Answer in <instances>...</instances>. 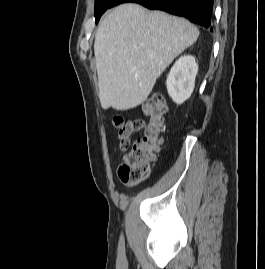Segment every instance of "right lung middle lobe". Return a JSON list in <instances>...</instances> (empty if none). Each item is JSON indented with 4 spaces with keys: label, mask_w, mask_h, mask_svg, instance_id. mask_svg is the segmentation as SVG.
Returning a JSON list of instances; mask_svg holds the SVG:
<instances>
[{
    "label": "right lung middle lobe",
    "mask_w": 265,
    "mask_h": 269,
    "mask_svg": "<svg viewBox=\"0 0 265 269\" xmlns=\"http://www.w3.org/2000/svg\"><path fill=\"white\" fill-rule=\"evenodd\" d=\"M114 0H95V18L98 23L101 15L110 7Z\"/></svg>",
    "instance_id": "dd1d6c3e"
}]
</instances>
